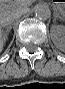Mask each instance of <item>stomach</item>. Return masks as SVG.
<instances>
[{"instance_id":"1","label":"stomach","mask_w":65,"mask_h":89,"mask_svg":"<svg viewBox=\"0 0 65 89\" xmlns=\"http://www.w3.org/2000/svg\"><path fill=\"white\" fill-rule=\"evenodd\" d=\"M58 9H59V13H60L61 19H64V16H65V4H60L58 6Z\"/></svg>"}]
</instances>
